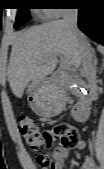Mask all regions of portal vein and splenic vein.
I'll return each mask as SVG.
<instances>
[{"instance_id": "1", "label": "portal vein and splenic vein", "mask_w": 104, "mask_h": 169, "mask_svg": "<svg viewBox=\"0 0 104 169\" xmlns=\"http://www.w3.org/2000/svg\"><path fill=\"white\" fill-rule=\"evenodd\" d=\"M60 57V62H61V66L65 69L70 68L71 63L64 57H62L61 55H58Z\"/></svg>"}]
</instances>
